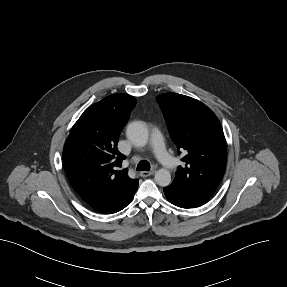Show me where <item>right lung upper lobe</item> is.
Wrapping results in <instances>:
<instances>
[{
  "label": "right lung upper lobe",
  "mask_w": 287,
  "mask_h": 287,
  "mask_svg": "<svg viewBox=\"0 0 287 287\" xmlns=\"http://www.w3.org/2000/svg\"><path fill=\"white\" fill-rule=\"evenodd\" d=\"M136 99L119 93L93 104L72 127L63 149V164L75 192L85 202L129 189L138 183L118 171L125 155L117 150L119 134Z\"/></svg>",
  "instance_id": "1"
}]
</instances>
